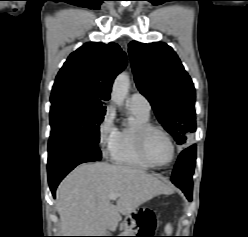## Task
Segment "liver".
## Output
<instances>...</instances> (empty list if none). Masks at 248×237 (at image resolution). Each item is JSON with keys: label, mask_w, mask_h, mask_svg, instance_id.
Masks as SVG:
<instances>
[{"label": "liver", "mask_w": 248, "mask_h": 237, "mask_svg": "<svg viewBox=\"0 0 248 237\" xmlns=\"http://www.w3.org/2000/svg\"><path fill=\"white\" fill-rule=\"evenodd\" d=\"M173 190L143 170L105 162L76 167L58 186L56 209L62 236H104L120 215ZM118 194L116 205L108 199Z\"/></svg>", "instance_id": "obj_1"}]
</instances>
